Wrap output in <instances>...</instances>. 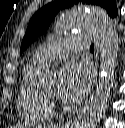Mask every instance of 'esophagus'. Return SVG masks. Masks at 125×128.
Here are the masks:
<instances>
[{
  "label": "esophagus",
  "instance_id": "esophagus-1",
  "mask_svg": "<svg viewBox=\"0 0 125 128\" xmlns=\"http://www.w3.org/2000/svg\"><path fill=\"white\" fill-rule=\"evenodd\" d=\"M99 68V63H98V50H97V47H96V51H95V74L97 75V70ZM96 80V78H95ZM94 80V82H95ZM72 125V121H69L66 123V127H70Z\"/></svg>",
  "mask_w": 125,
  "mask_h": 128
}]
</instances>
